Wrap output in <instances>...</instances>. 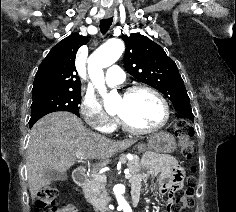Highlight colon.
Returning a JSON list of instances; mask_svg holds the SVG:
<instances>
[{
  "label": "colon",
  "instance_id": "obj_1",
  "mask_svg": "<svg viewBox=\"0 0 236 212\" xmlns=\"http://www.w3.org/2000/svg\"><path fill=\"white\" fill-rule=\"evenodd\" d=\"M175 134L180 141V152L183 157L190 158L195 147L191 141L192 127L184 119H179L175 124ZM196 179L190 175L187 179V187L179 190V184H173L172 187L175 193V201L172 204V212H183L189 210L194 206V190ZM58 197V190L54 186H47L43 188L37 196L36 207L38 210H46V212H61L62 208L56 206Z\"/></svg>",
  "mask_w": 236,
  "mask_h": 212
}]
</instances>
